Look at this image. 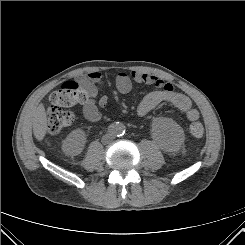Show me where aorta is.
Here are the masks:
<instances>
[{
  "instance_id": "obj_1",
  "label": "aorta",
  "mask_w": 245,
  "mask_h": 245,
  "mask_svg": "<svg viewBox=\"0 0 245 245\" xmlns=\"http://www.w3.org/2000/svg\"><path fill=\"white\" fill-rule=\"evenodd\" d=\"M110 130L113 135L120 136L125 132V125L123 123L116 122L111 125Z\"/></svg>"
}]
</instances>
